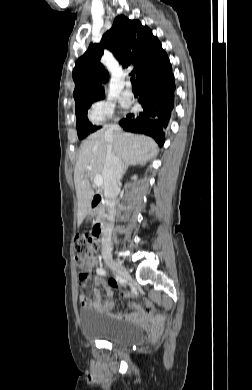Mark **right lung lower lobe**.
Wrapping results in <instances>:
<instances>
[{
    "mask_svg": "<svg viewBox=\"0 0 252 390\" xmlns=\"http://www.w3.org/2000/svg\"><path fill=\"white\" fill-rule=\"evenodd\" d=\"M139 103L143 111L138 115L128 114L120 121L126 131L142 133L153 137L162 146L165 141L164 130L168 125L174 108V76L172 67L139 81Z\"/></svg>",
    "mask_w": 252,
    "mask_h": 390,
    "instance_id": "1",
    "label": "right lung lower lobe"
}]
</instances>
